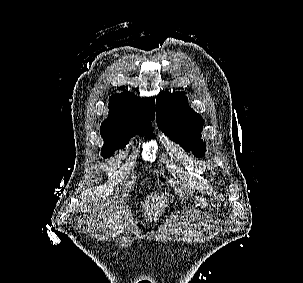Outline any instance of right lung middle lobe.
Returning <instances> with one entry per match:
<instances>
[{"mask_svg": "<svg viewBox=\"0 0 303 283\" xmlns=\"http://www.w3.org/2000/svg\"><path fill=\"white\" fill-rule=\"evenodd\" d=\"M153 129L150 127H141L133 129L127 133H101L102 138L105 140L102 153L105 158L110 157L115 149H121L126 146L130 137L133 135L140 134V136L154 137L152 133Z\"/></svg>", "mask_w": 303, "mask_h": 283, "instance_id": "1", "label": "right lung middle lobe"}]
</instances>
